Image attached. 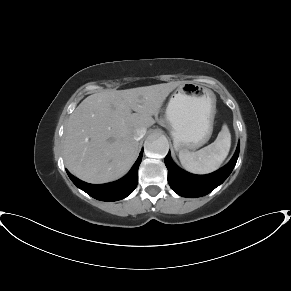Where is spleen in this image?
Here are the masks:
<instances>
[{"label":"spleen","mask_w":291,"mask_h":291,"mask_svg":"<svg viewBox=\"0 0 291 291\" xmlns=\"http://www.w3.org/2000/svg\"><path fill=\"white\" fill-rule=\"evenodd\" d=\"M231 146V134L226 124L216 140L197 152L179 151L182 166L194 174H208L217 170L226 159Z\"/></svg>","instance_id":"spleen-1"}]
</instances>
